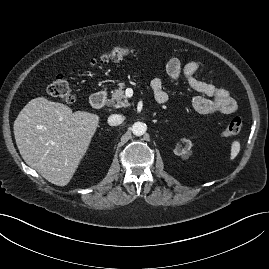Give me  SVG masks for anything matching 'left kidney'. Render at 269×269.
<instances>
[{
    "mask_svg": "<svg viewBox=\"0 0 269 269\" xmlns=\"http://www.w3.org/2000/svg\"><path fill=\"white\" fill-rule=\"evenodd\" d=\"M192 142L189 139L183 140V146L179 145L174 149V154L181 156L183 159H188L191 155Z\"/></svg>",
    "mask_w": 269,
    "mask_h": 269,
    "instance_id": "left-kidney-1",
    "label": "left kidney"
}]
</instances>
